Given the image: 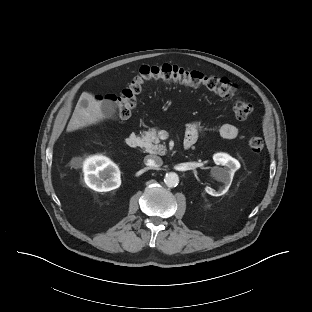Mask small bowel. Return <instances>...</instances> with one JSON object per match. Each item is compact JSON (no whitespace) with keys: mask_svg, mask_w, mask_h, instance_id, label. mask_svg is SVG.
<instances>
[{"mask_svg":"<svg viewBox=\"0 0 312 312\" xmlns=\"http://www.w3.org/2000/svg\"><path fill=\"white\" fill-rule=\"evenodd\" d=\"M202 127L198 123H191L187 126L184 143L193 145L201 135ZM239 134L238 127L233 123H225L220 128V135L226 140L235 139Z\"/></svg>","mask_w":312,"mask_h":312,"instance_id":"obj_1","label":"small bowel"}]
</instances>
